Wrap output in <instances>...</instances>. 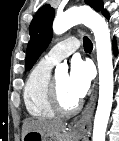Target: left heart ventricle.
Returning a JSON list of instances; mask_svg holds the SVG:
<instances>
[{"mask_svg": "<svg viewBox=\"0 0 119 141\" xmlns=\"http://www.w3.org/2000/svg\"><path fill=\"white\" fill-rule=\"evenodd\" d=\"M55 79L61 103L67 108L74 106L78 100L68 89V75L66 73H60L55 77Z\"/></svg>", "mask_w": 119, "mask_h": 141, "instance_id": "left-heart-ventricle-1", "label": "left heart ventricle"}]
</instances>
